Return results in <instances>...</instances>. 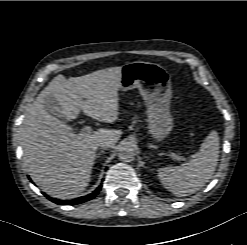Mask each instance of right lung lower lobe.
<instances>
[{"instance_id":"1","label":"right lung lower lobe","mask_w":247,"mask_h":245,"mask_svg":"<svg viewBox=\"0 0 247 245\" xmlns=\"http://www.w3.org/2000/svg\"><path fill=\"white\" fill-rule=\"evenodd\" d=\"M101 187H102V185H100L91 194L86 195V196H82L80 198H76V199H73V200H57V199L48 197L47 195H46V197L49 200H51L52 202H54L56 204H59V205H76V204H80V203H83V202H86V201H89V200L93 199L98 194V192L101 190Z\"/></svg>"}]
</instances>
